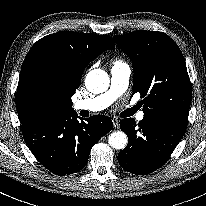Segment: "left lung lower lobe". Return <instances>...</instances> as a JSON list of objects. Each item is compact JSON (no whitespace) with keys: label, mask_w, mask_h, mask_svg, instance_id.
<instances>
[{"label":"left lung lower lobe","mask_w":206,"mask_h":206,"mask_svg":"<svg viewBox=\"0 0 206 206\" xmlns=\"http://www.w3.org/2000/svg\"><path fill=\"white\" fill-rule=\"evenodd\" d=\"M186 127L160 117L144 116L138 124L132 118L122 119L120 128L128 136V145L118 154L120 166L138 175L154 172L168 161Z\"/></svg>","instance_id":"0a47b994"}]
</instances>
